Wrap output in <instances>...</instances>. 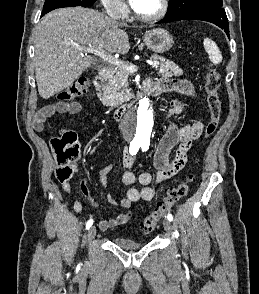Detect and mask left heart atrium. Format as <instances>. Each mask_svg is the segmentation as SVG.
I'll return each instance as SVG.
<instances>
[{
	"instance_id": "left-heart-atrium-1",
	"label": "left heart atrium",
	"mask_w": 259,
	"mask_h": 294,
	"mask_svg": "<svg viewBox=\"0 0 259 294\" xmlns=\"http://www.w3.org/2000/svg\"><path fill=\"white\" fill-rule=\"evenodd\" d=\"M140 1L141 0H129V3L134 9H136L138 7Z\"/></svg>"
}]
</instances>
